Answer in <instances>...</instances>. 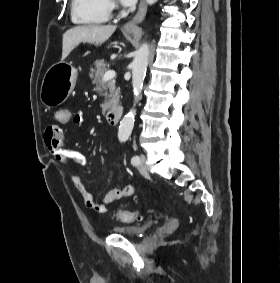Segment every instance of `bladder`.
<instances>
[{
    "instance_id": "obj_1",
    "label": "bladder",
    "mask_w": 280,
    "mask_h": 283,
    "mask_svg": "<svg viewBox=\"0 0 280 283\" xmlns=\"http://www.w3.org/2000/svg\"><path fill=\"white\" fill-rule=\"evenodd\" d=\"M156 225V221H149L141 225H122L111 227L112 234L121 235L128 238L138 239L144 236L150 230H152Z\"/></svg>"
}]
</instances>
